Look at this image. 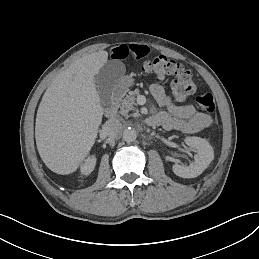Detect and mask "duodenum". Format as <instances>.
<instances>
[{"instance_id":"obj_1","label":"duodenum","mask_w":259,"mask_h":259,"mask_svg":"<svg viewBox=\"0 0 259 259\" xmlns=\"http://www.w3.org/2000/svg\"><path fill=\"white\" fill-rule=\"evenodd\" d=\"M125 93V88L123 86H117L113 89L111 94V100L108 105L105 107V115L107 117H113L117 111V104L119 100L123 97ZM146 123L148 125H154L155 119L153 117H149L146 119Z\"/></svg>"}]
</instances>
